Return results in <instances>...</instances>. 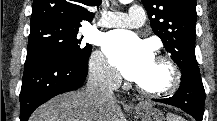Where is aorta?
<instances>
[{"instance_id": "aorta-1", "label": "aorta", "mask_w": 217, "mask_h": 121, "mask_svg": "<svg viewBox=\"0 0 217 121\" xmlns=\"http://www.w3.org/2000/svg\"><path fill=\"white\" fill-rule=\"evenodd\" d=\"M122 4H128L130 3L132 0H119Z\"/></svg>"}]
</instances>
